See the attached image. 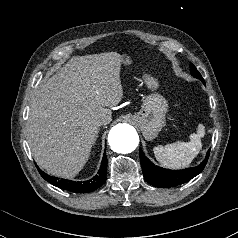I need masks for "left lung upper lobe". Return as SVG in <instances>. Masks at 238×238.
I'll use <instances>...</instances> for the list:
<instances>
[{"instance_id":"1","label":"left lung upper lobe","mask_w":238,"mask_h":238,"mask_svg":"<svg viewBox=\"0 0 238 238\" xmlns=\"http://www.w3.org/2000/svg\"><path fill=\"white\" fill-rule=\"evenodd\" d=\"M190 69H191V74L192 76H194L195 78L200 79L203 84H205L204 79L202 78L201 74L199 73V71L195 68V66L193 64L190 65Z\"/></svg>"}]
</instances>
